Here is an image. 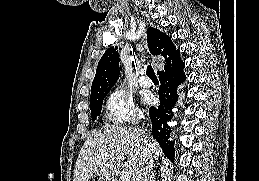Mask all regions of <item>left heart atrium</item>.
I'll return each mask as SVG.
<instances>
[{
    "label": "left heart atrium",
    "mask_w": 259,
    "mask_h": 181,
    "mask_svg": "<svg viewBox=\"0 0 259 181\" xmlns=\"http://www.w3.org/2000/svg\"><path fill=\"white\" fill-rule=\"evenodd\" d=\"M154 98L151 94H147L144 98L145 103L151 104L153 102Z\"/></svg>",
    "instance_id": "1"
}]
</instances>
